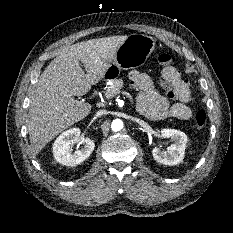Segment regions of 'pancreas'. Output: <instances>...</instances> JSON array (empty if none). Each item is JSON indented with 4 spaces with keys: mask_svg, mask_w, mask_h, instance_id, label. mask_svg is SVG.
I'll return each mask as SVG.
<instances>
[{
    "mask_svg": "<svg viewBox=\"0 0 233 233\" xmlns=\"http://www.w3.org/2000/svg\"><path fill=\"white\" fill-rule=\"evenodd\" d=\"M111 83V85L105 88V95L107 98H111L117 95L119 90L123 87L122 79H113Z\"/></svg>",
    "mask_w": 233,
    "mask_h": 233,
    "instance_id": "obj_1",
    "label": "pancreas"
}]
</instances>
